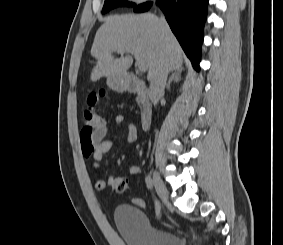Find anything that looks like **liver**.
<instances>
[{
	"label": "liver",
	"instance_id": "liver-1",
	"mask_svg": "<svg viewBox=\"0 0 283 245\" xmlns=\"http://www.w3.org/2000/svg\"><path fill=\"white\" fill-rule=\"evenodd\" d=\"M113 52L120 53L121 57L114 58ZM129 53L146 62L150 82L162 65L168 71L182 68L183 51L170 29H163L157 16L150 13L114 15L107 17L96 32L91 55L97 63L91 72V81L103 76H125L133 63Z\"/></svg>",
	"mask_w": 283,
	"mask_h": 245
}]
</instances>
